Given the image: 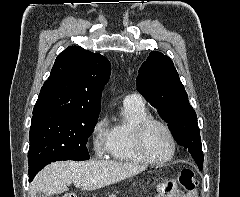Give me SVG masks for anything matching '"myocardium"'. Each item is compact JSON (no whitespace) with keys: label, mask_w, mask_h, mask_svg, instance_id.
<instances>
[{"label":"myocardium","mask_w":240,"mask_h":197,"mask_svg":"<svg viewBox=\"0 0 240 197\" xmlns=\"http://www.w3.org/2000/svg\"><path fill=\"white\" fill-rule=\"evenodd\" d=\"M157 124L161 126L166 133L168 134L170 141H171V152L168 157L162 160H156L153 159L147 152L144 144V135L146 130L149 126ZM132 140L134 147L137 151V153L140 155V157L147 163L153 164V165H164L172 161L175 157L176 151H177V142L176 138L174 136L173 131L169 127V125L164 122L161 119L154 118V117H146L145 119L139 121L132 130Z\"/></svg>","instance_id":"myocardium-1"}]
</instances>
